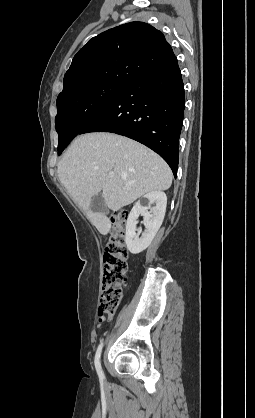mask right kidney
Instances as JSON below:
<instances>
[{
    "label": "right kidney",
    "instance_id": "right-kidney-1",
    "mask_svg": "<svg viewBox=\"0 0 255 418\" xmlns=\"http://www.w3.org/2000/svg\"><path fill=\"white\" fill-rule=\"evenodd\" d=\"M155 206L151 207V204ZM167 196L162 191H152L145 194L133 206L126 224L125 243L132 254H139L145 250L159 230L166 212ZM144 217L145 231L139 237L136 225L139 216Z\"/></svg>",
    "mask_w": 255,
    "mask_h": 418
}]
</instances>
